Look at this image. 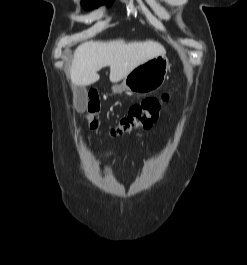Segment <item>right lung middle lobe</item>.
<instances>
[{
    "label": "right lung middle lobe",
    "instance_id": "right-lung-middle-lobe-1",
    "mask_svg": "<svg viewBox=\"0 0 247 265\" xmlns=\"http://www.w3.org/2000/svg\"><path fill=\"white\" fill-rule=\"evenodd\" d=\"M112 0H82L83 8L90 10L97 8L99 5L107 3L110 6Z\"/></svg>",
    "mask_w": 247,
    "mask_h": 265
}]
</instances>
